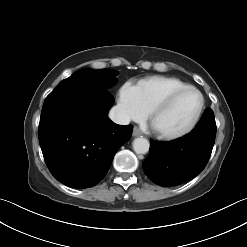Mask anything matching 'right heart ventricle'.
<instances>
[{"instance_id":"right-heart-ventricle-1","label":"right heart ventricle","mask_w":247,"mask_h":247,"mask_svg":"<svg viewBox=\"0 0 247 247\" xmlns=\"http://www.w3.org/2000/svg\"><path fill=\"white\" fill-rule=\"evenodd\" d=\"M189 85L177 78L152 76L139 81L134 87L140 102L147 111L172 91L188 87Z\"/></svg>"}]
</instances>
